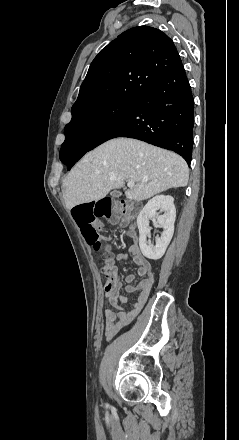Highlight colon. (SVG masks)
Instances as JSON below:
<instances>
[{
    "mask_svg": "<svg viewBox=\"0 0 239 440\" xmlns=\"http://www.w3.org/2000/svg\"><path fill=\"white\" fill-rule=\"evenodd\" d=\"M139 205L132 202L114 203L104 198L97 202L78 205L73 208V217L81 230L86 242L96 249H100L101 236L97 221L101 218L113 224L126 223L138 212ZM118 269L111 253L104 255L102 272L107 278L116 275Z\"/></svg>",
    "mask_w": 239,
    "mask_h": 440,
    "instance_id": "5ec220e1",
    "label": "colon"
}]
</instances>
